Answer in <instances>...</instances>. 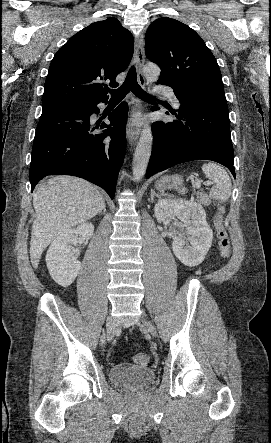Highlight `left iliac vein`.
Wrapping results in <instances>:
<instances>
[{
  "label": "left iliac vein",
  "mask_w": 271,
  "mask_h": 443,
  "mask_svg": "<svg viewBox=\"0 0 271 443\" xmlns=\"http://www.w3.org/2000/svg\"><path fill=\"white\" fill-rule=\"evenodd\" d=\"M142 323L148 332H150L153 336H156V332L150 322H148L146 319H142Z\"/></svg>",
  "instance_id": "obj_1"
}]
</instances>
